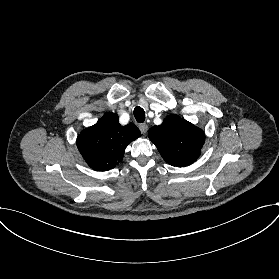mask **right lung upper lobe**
I'll return each mask as SVG.
<instances>
[{"instance_id":"1","label":"right lung upper lobe","mask_w":279,"mask_h":279,"mask_svg":"<svg viewBox=\"0 0 279 279\" xmlns=\"http://www.w3.org/2000/svg\"><path fill=\"white\" fill-rule=\"evenodd\" d=\"M141 135L130 123L121 126L116 113H106L95 125L84 129L77 138V147L94 170L114 168L121 161L127 145Z\"/></svg>"}]
</instances>
